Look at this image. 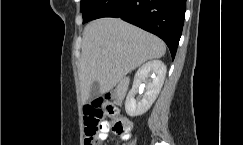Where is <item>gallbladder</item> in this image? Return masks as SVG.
Here are the masks:
<instances>
[{
	"label": "gallbladder",
	"mask_w": 243,
	"mask_h": 145,
	"mask_svg": "<svg viewBox=\"0 0 243 145\" xmlns=\"http://www.w3.org/2000/svg\"><path fill=\"white\" fill-rule=\"evenodd\" d=\"M101 95L99 82L94 81L91 85L89 100Z\"/></svg>",
	"instance_id": "obj_1"
}]
</instances>
